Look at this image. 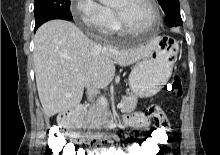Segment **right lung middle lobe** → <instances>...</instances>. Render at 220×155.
<instances>
[{"mask_svg":"<svg viewBox=\"0 0 220 155\" xmlns=\"http://www.w3.org/2000/svg\"><path fill=\"white\" fill-rule=\"evenodd\" d=\"M34 15L36 25L56 17L72 18L70 0H34Z\"/></svg>","mask_w":220,"mask_h":155,"instance_id":"obj_1","label":"right lung middle lobe"}]
</instances>
